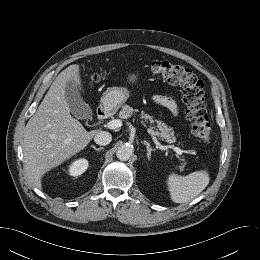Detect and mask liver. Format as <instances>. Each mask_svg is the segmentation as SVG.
I'll use <instances>...</instances> for the list:
<instances>
[{"label": "liver", "instance_id": "liver-1", "mask_svg": "<svg viewBox=\"0 0 260 260\" xmlns=\"http://www.w3.org/2000/svg\"><path fill=\"white\" fill-rule=\"evenodd\" d=\"M68 81L81 87L78 64L70 65L56 77L24 129L25 169L37 188H41V178L47 171L83 150L98 132H88L71 116L65 97Z\"/></svg>", "mask_w": 260, "mask_h": 260}]
</instances>
